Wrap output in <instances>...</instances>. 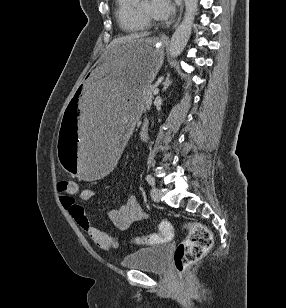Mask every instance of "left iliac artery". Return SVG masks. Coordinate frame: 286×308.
I'll return each instance as SVG.
<instances>
[{
    "mask_svg": "<svg viewBox=\"0 0 286 308\" xmlns=\"http://www.w3.org/2000/svg\"><path fill=\"white\" fill-rule=\"evenodd\" d=\"M146 181L148 182L149 185L154 186L155 185V180L151 175L146 176Z\"/></svg>",
    "mask_w": 286,
    "mask_h": 308,
    "instance_id": "1",
    "label": "left iliac artery"
}]
</instances>
